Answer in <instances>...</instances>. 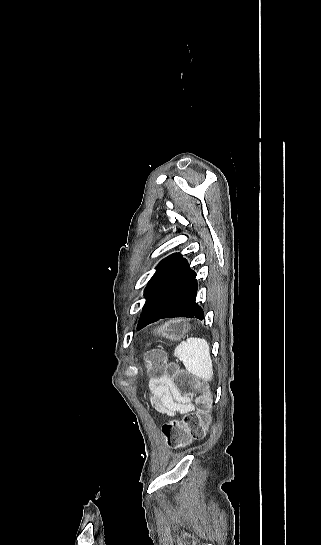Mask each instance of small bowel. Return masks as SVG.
Returning a JSON list of instances; mask_svg holds the SVG:
<instances>
[{"mask_svg":"<svg viewBox=\"0 0 321 545\" xmlns=\"http://www.w3.org/2000/svg\"><path fill=\"white\" fill-rule=\"evenodd\" d=\"M152 402L156 409L168 416L186 414L194 409L191 399L175 392L169 377L154 378L150 382Z\"/></svg>","mask_w":321,"mask_h":545,"instance_id":"1","label":"small bowel"}]
</instances>
